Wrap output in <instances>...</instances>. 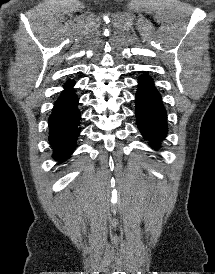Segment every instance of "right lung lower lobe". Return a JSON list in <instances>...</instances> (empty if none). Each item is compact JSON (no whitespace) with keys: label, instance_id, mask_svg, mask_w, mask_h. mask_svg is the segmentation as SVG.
I'll use <instances>...</instances> for the list:
<instances>
[{"label":"right lung lower lobe","instance_id":"1","mask_svg":"<svg viewBox=\"0 0 215 274\" xmlns=\"http://www.w3.org/2000/svg\"><path fill=\"white\" fill-rule=\"evenodd\" d=\"M78 100L72 90L68 95L58 98L50 115L49 142L56 160H66L76 147L80 133Z\"/></svg>","mask_w":215,"mask_h":274}]
</instances>
